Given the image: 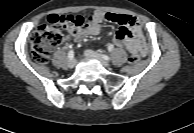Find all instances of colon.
Listing matches in <instances>:
<instances>
[{
  "instance_id": "obj_1",
  "label": "colon",
  "mask_w": 194,
  "mask_h": 133,
  "mask_svg": "<svg viewBox=\"0 0 194 133\" xmlns=\"http://www.w3.org/2000/svg\"><path fill=\"white\" fill-rule=\"evenodd\" d=\"M83 26V17L76 14L49 16L48 23L39 26L31 38L34 60L41 64L47 63L53 49L61 43L64 31L77 33ZM139 59L140 55L134 53L129 61L133 64Z\"/></svg>"
}]
</instances>
